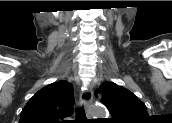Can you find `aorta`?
<instances>
[{
	"label": "aorta",
	"mask_w": 172,
	"mask_h": 123,
	"mask_svg": "<svg viewBox=\"0 0 172 123\" xmlns=\"http://www.w3.org/2000/svg\"><path fill=\"white\" fill-rule=\"evenodd\" d=\"M89 113L95 118H103L104 116H106L107 110L101 105H93L90 107Z\"/></svg>",
	"instance_id": "1"
}]
</instances>
